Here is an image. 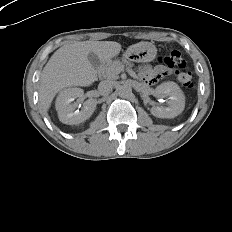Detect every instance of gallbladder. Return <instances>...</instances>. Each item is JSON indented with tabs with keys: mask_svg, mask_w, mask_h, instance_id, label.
<instances>
[{
	"mask_svg": "<svg viewBox=\"0 0 232 232\" xmlns=\"http://www.w3.org/2000/svg\"><path fill=\"white\" fill-rule=\"evenodd\" d=\"M88 60L94 68H98L101 64L100 58L94 52L88 54Z\"/></svg>",
	"mask_w": 232,
	"mask_h": 232,
	"instance_id": "bac80fb5",
	"label": "gallbladder"
}]
</instances>
